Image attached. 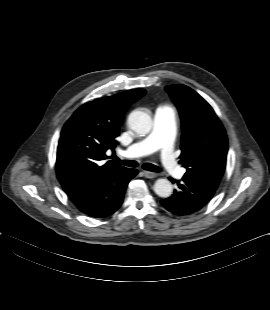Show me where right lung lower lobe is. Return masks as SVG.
Listing matches in <instances>:
<instances>
[{"mask_svg":"<svg viewBox=\"0 0 270 310\" xmlns=\"http://www.w3.org/2000/svg\"><path fill=\"white\" fill-rule=\"evenodd\" d=\"M136 174L135 169L121 166L96 177L65 183L62 187L81 212L103 218L120 207L125 189Z\"/></svg>","mask_w":270,"mask_h":310,"instance_id":"98d812e1","label":"right lung lower lobe"}]
</instances>
